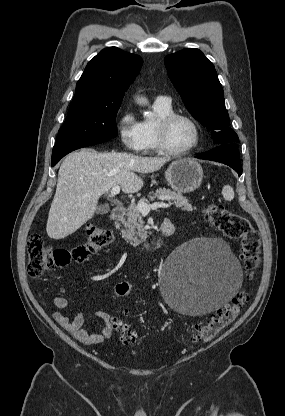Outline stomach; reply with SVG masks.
Wrapping results in <instances>:
<instances>
[{
  "label": "stomach",
  "mask_w": 285,
  "mask_h": 416,
  "mask_svg": "<svg viewBox=\"0 0 285 416\" xmlns=\"http://www.w3.org/2000/svg\"><path fill=\"white\" fill-rule=\"evenodd\" d=\"M165 178L174 192L189 194L199 188L203 180V170L192 158H179L170 164Z\"/></svg>",
  "instance_id": "1"
}]
</instances>
